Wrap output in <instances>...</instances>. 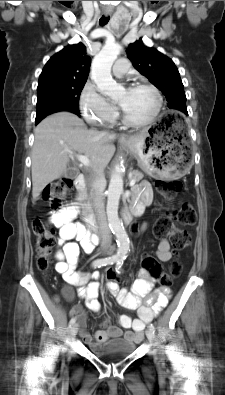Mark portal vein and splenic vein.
Masks as SVG:
<instances>
[{"label": "portal vein and splenic vein", "instance_id": "portal-vein-and-splenic-vein-1", "mask_svg": "<svg viewBox=\"0 0 225 395\" xmlns=\"http://www.w3.org/2000/svg\"><path fill=\"white\" fill-rule=\"evenodd\" d=\"M70 154H72V152L69 151ZM77 159L85 166H89L90 165V161L88 159L87 156L84 155H76ZM135 180L131 179L129 185L133 186L135 184Z\"/></svg>", "mask_w": 225, "mask_h": 395}]
</instances>
